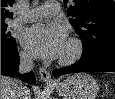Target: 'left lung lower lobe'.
Instances as JSON below:
<instances>
[{
	"instance_id": "obj_1",
	"label": "left lung lower lobe",
	"mask_w": 115,
	"mask_h": 99,
	"mask_svg": "<svg viewBox=\"0 0 115 99\" xmlns=\"http://www.w3.org/2000/svg\"><path fill=\"white\" fill-rule=\"evenodd\" d=\"M108 71L115 72V49H106L82 56L75 64L53 71L55 76L69 73Z\"/></svg>"
}]
</instances>
